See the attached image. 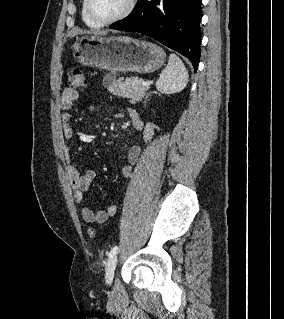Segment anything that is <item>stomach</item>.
<instances>
[{
	"label": "stomach",
	"instance_id": "0dacf381",
	"mask_svg": "<svg viewBox=\"0 0 284 319\" xmlns=\"http://www.w3.org/2000/svg\"><path fill=\"white\" fill-rule=\"evenodd\" d=\"M72 50L79 63L111 72L152 73L166 59L156 44L129 37L83 36Z\"/></svg>",
	"mask_w": 284,
	"mask_h": 319
}]
</instances>
